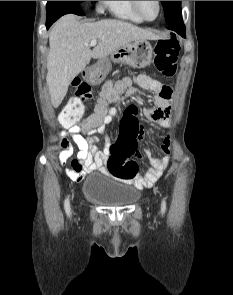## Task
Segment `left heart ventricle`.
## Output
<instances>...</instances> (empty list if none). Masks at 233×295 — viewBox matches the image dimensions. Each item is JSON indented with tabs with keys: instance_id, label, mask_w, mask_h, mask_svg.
Here are the masks:
<instances>
[{
	"instance_id": "1",
	"label": "left heart ventricle",
	"mask_w": 233,
	"mask_h": 295,
	"mask_svg": "<svg viewBox=\"0 0 233 295\" xmlns=\"http://www.w3.org/2000/svg\"><path fill=\"white\" fill-rule=\"evenodd\" d=\"M139 8L144 17L153 19L157 14V3L156 1H138Z\"/></svg>"
}]
</instances>
